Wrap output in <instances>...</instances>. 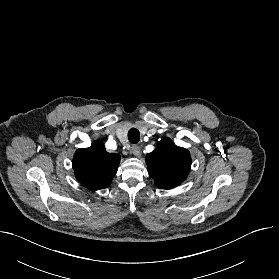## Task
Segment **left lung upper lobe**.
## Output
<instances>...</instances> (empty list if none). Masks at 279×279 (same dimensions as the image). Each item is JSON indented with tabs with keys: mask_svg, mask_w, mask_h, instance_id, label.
I'll return each mask as SVG.
<instances>
[{
	"mask_svg": "<svg viewBox=\"0 0 279 279\" xmlns=\"http://www.w3.org/2000/svg\"><path fill=\"white\" fill-rule=\"evenodd\" d=\"M149 175L161 189L180 185L191 169L189 151L178 147L169 138L158 142L156 149L146 155Z\"/></svg>",
	"mask_w": 279,
	"mask_h": 279,
	"instance_id": "left-lung-upper-lobe-1",
	"label": "left lung upper lobe"
}]
</instances>
